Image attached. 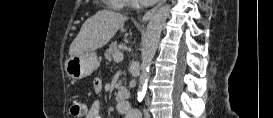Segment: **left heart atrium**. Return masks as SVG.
I'll return each mask as SVG.
<instances>
[{
  "mask_svg": "<svg viewBox=\"0 0 273 118\" xmlns=\"http://www.w3.org/2000/svg\"><path fill=\"white\" fill-rule=\"evenodd\" d=\"M143 1H149V2H154V1H156V0H143Z\"/></svg>",
  "mask_w": 273,
  "mask_h": 118,
  "instance_id": "39dd6f15",
  "label": "left heart atrium"
}]
</instances>
